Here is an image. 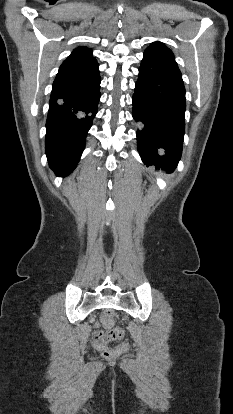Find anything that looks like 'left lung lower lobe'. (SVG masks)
<instances>
[{"label":"left lung lower lobe","mask_w":233,"mask_h":414,"mask_svg":"<svg viewBox=\"0 0 233 414\" xmlns=\"http://www.w3.org/2000/svg\"><path fill=\"white\" fill-rule=\"evenodd\" d=\"M132 100L142 161L172 171L181 158L185 129V88L175 60L145 51Z\"/></svg>","instance_id":"1"}]
</instances>
